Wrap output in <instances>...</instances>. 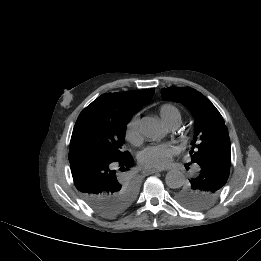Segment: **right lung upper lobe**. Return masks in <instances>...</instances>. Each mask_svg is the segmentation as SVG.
I'll use <instances>...</instances> for the list:
<instances>
[{
  "label": "right lung upper lobe",
  "mask_w": 261,
  "mask_h": 261,
  "mask_svg": "<svg viewBox=\"0 0 261 261\" xmlns=\"http://www.w3.org/2000/svg\"><path fill=\"white\" fill-rule=\"evenodd\" d=\"M154 93V89L107 93L98 97L94 102L104 105L116 116L129 121L135 112L151 100Z\"/></svg>",
  "instance_id": "obj_1"
}]
</instances>
